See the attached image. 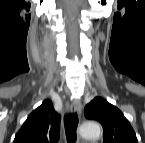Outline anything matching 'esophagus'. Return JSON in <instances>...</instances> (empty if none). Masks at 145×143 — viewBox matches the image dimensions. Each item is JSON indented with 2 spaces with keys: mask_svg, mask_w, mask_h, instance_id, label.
Listing matches in <instances>:
<instances>
[{
  "mask_svg": "<svg viewBox=\"0 0 145 143\" xmlns=\"http://www.w3.org/2000/svg\"><path fill=\"white\" fill-rule=\"evenodd\" d=\"M70 110L72 113H77L78 115H81L82 107L80 101L77 99L73 100L70 105Z\"/></svg>",
  "mask_w": 145,
  "mask_h": 143,
  "instance_id": "esophagus-1",
  "label": "esophagus"
}]
</instances>
